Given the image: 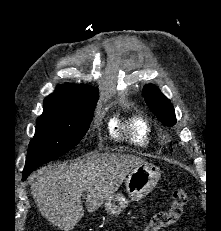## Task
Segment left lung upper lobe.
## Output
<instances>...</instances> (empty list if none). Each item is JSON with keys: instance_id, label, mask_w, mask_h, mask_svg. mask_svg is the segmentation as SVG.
I'll list each match as a JSON object with an SVG mask.
<instances>
[{"instance_id": "5c2ea615", "label": "left lung upper lobe", "mask_w": 221, "mask_h": 231, "mask_svg": "<svg viewBox=\"0 0 221 231\" xmlns=\"http://www.w3.org/2000/svg\"><path fill=\"white\" fill-rule=\"evenodd\" d=\"M143 94L150 110L164 125L171 127L176 124L173 106L157 87L146 85Z\"/></svg>"}]
</instances>
